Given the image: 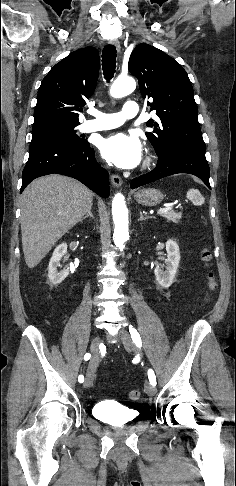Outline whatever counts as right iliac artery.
Returning a JSON list of instances; mask_svg holds the SVG:
<instances>
[{
	"label": "right iliac artery",
	"instance_id": "1",
	"mask_svg": "<svg viewBox=\"0 0 236 486\" xmlns=\"http://www.w3.org/2000/svg\"><path fill=\"white\" fill-rule=\"evenodd\" d=\"M90 357H91L90 353H86V354L84 355V360H85V361H87V360H89V359H90ZM78 381H79L80 383H82V382L84 381V376H83V375H80V376L78 377Z\"/></svg>",
	"mask_w": 236,
	"mask_h": 486
}]
</instances>
